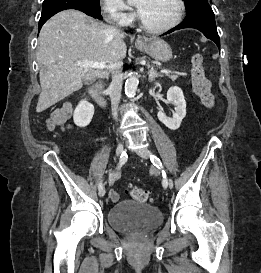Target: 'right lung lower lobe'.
Segmentation results:
<instances>
[{"label":"right lung lower lobe","instance_id":"98d812e1","mask_svg":"<svg viewBox=\"0 0 261 273\" xmlns=\"http://www.w3.org/2000/svg\"><path fill=\"white\" fill-rule=\"evenodd\" d=\"M65 7H68L67 9H77L80 10L84 13H86L89 16H92L94 18L100 19L102 20V16L100 14V10H96L94 8L89 7L83 0H70L69 3L65 4ZM65 10V9H63ZM62 11V10H60ZM59 11H56L54 13L51 14H42L41 18L39 20V30L41 29L42 25L53 15H55L56 13H58Z\"/></svg>","mask_w":261,"mask_h":273}]
</instances>
